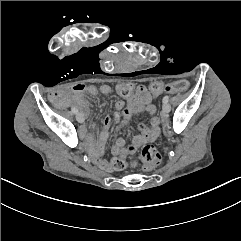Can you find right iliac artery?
<instances>
[{"label": "right iliac artery", "mask_w": 241, "mask_h": 241, "mask_svg": "<svg viewBox=\"0 0 241 241\" xmlns=\"http://www.w3.org/2000/svg\"><path fill=\"white\" fill-rule=\"evenodd\" d=\"M71 110L74 114H76L78 112V110L75 107H72Z\"/></svg>", "instance_id": "right-iliac-artery-1"}]
</instances>
